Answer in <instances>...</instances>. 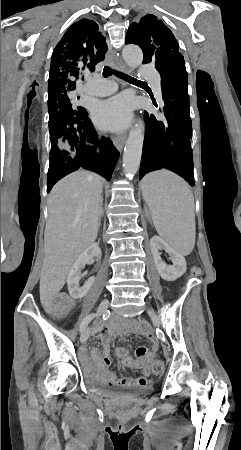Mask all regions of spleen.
Returning <instances> with one entry per match:
<instances>
[{
    "instance_id": "3e777b00",
    "label": "spleen",
    "mask_w": 241,
    "mask_h": 450,
    "mask_svg": "<svg viewBox=\"0 0 241 450\" xmlns=\"http://www.w3.org/2000/svg\"><path fill=\"white\" fill-rule=\"evenodd\" d=\"M145 200L161 238L181 256H189L195 246L194 196L180 176L158 170L143 178Z\"/></svg>"
}]
</instances>
